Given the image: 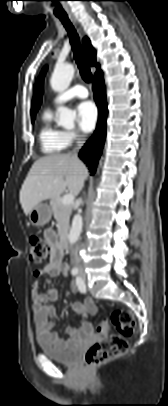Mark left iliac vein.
<instances>
[{
  "label": "left iliac vein",
  "instance_id": "1",
  "mask_svg": "<svg viewBox=\"0 0 168 406\" xmlns=\"http://www.w3.org/2000/svg\"><path fill=\"white\" fill-rule=\"evenodd\" d=\"M81 278L84 281V283L86 282V275L85 273L81 272Z\"/></svg>",
  "mask_w": 168,
  "mask_h": 406
}]
</instances>
